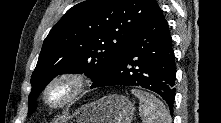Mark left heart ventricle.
Wrapping results in <instances>:
<instances>
[{
  "mask_svg": "<svg viewBox=\"0 0 221 123\" xmlns=\"http://www.w3.org/2000/svg\"><path fill=\"white\" fill-rule=\"evenodd\" d=\"M66 88L63 86H59L54 88L50 94H49V99L51 102H58L60 101L66 94Z\"/></svg>",
  "mask_w": 221,
  "mask_h": 123,
  "instance_id": "1",
  "label": "left heart ventricle"
}]
</instances>
